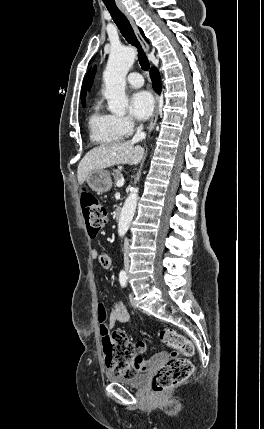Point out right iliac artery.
Listing matches in <instances>:
<instances>
[{
  "label": "right iliac artery",
  "mask_w": 264,
  "mask_h": 429,
  "mask_svg": "<svg viewBox=\"0 0 264 429\" xmlns=\"http://www.w3.org/2000/svg\"><path fill=\"white\" fill-rule=\"evenodd\" d=\"M119 281L122 287H125L127 284V274L124 270L119 273Z\"/></svg>",
  "instance_id": "82829eb1"
}]
</instances>
